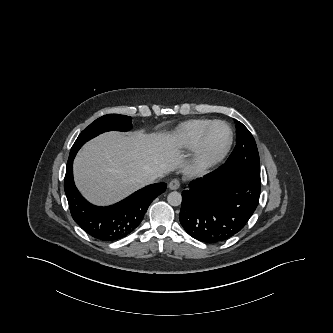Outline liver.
<instances>
[{
	"label": "liver",
	"mask_w": 333,
	"mask_h": 333,
	"mask_svg": "<svg viewBox=\"0 0 333 333\" xmlns=\"http://www.w3.org/2000/svg\"><path fill=\"white\" fill-rule=\"evenodd\" d=\"M180 144L169 133L129 135L104 133L86 143L74 160L75 183L92 203H114L145 185L148 174L165 173L177 168L192 176L186 166Z\"/></svg>",
	"instance_id": "obj_1"
}]
</instances>
